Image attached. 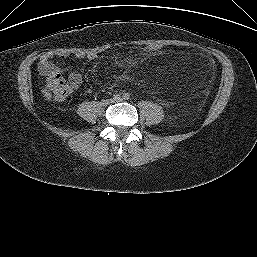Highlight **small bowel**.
Wrapping results in <instances>:
<instances>
[{
	"mask_svg": "<svg viewBox=\"0 0 257 257\" xmlns=\"http://www.w3.org/2000/svg\"><path fill=\"white\" fill-rule=\"evenodd\" d=\"M52 57H53V54H47L40 59L38 70L41 75L48 76L50 73H55L60 71V69L51 62ZM82 57L83 55L81 54L77 55L78 59ZM88 57L90 59H95L96 55L90 54ZM66 71L68 72V82H69L70 88H72L73 90H78L82 84L81 74L77 72L75 69H73L71 66H68L66 68Z\"/></svg>",
	"mask_w": 257,
	"mask_h": 257,
	"instance_id": "obj_1",
	"label": "small bowel"
}]
</instances>
